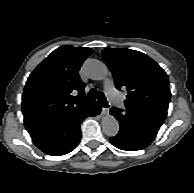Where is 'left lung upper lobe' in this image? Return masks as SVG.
Instances as JSON below:
<instances>
[{
	"label": "left lung upper lobe",
	"mask_w": 194,
	"mask_h": 193,
	"mask_svg": "<svg viewBox=\"0 0 194 193\" xmlns=\"http://www.w3.org/2000/svg\"><path fill=\"white\" fill-rule=\"evenodd\" d=\"M102 56L117 89L128 92L126 110L163 123L171 97L164 70L144 53L131 49L106 48Z\"/></svg>",
	"instance_id": "left-lung-upper-lobe-1"
}]
</instances>
